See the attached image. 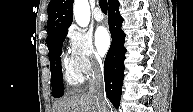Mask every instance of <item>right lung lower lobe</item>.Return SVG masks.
I'll return each mask as SVG.
<instances>
[{
	"instance_id": "1",
	"label": "right lung lower lobe",
	"mask_w": 193,
	"mask_h": 112,
	"mask_svg": "<svg viewBox=\"0 0 193 112\" xmlns=\"http://www.w3.org/2000/svg\"><path fill=\"white\" fill-rule=\"evenodd\" d=\"M119 5L118 0L109 5L108 22L112 43L104 63L105 90L108 99L115 108H118L120 104L126 53L125 33L121 29L123 18L118 11Z\"/></svg>"
}]
</instances>
